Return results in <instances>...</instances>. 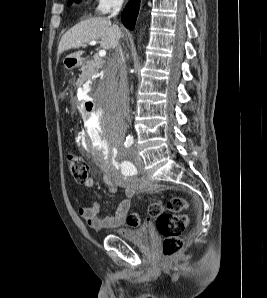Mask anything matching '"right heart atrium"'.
<instances>
[{"instance_id":"obj_1","label":"right heart atrium","mask_w":267,"mask_h":298,"mask_svg":"<svg viewBox=\"0 0 267 298\" xmlns=\"http://www.w3.org/2000/svg\"><path fill=\"white\" fill-rule=\"evenodd\" d=\"M124 0H94V11L96 14H106L112 9L119 7Z\"/></svg>"}]
</instances>
